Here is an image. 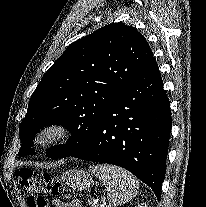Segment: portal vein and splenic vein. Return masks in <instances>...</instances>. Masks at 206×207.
I'll list each match as a JSON object with an SVG mask.
<instances>
[{
  "instance_id": "portal-vein-and-splenic-vein-1",
  "label": "portal vein and splenic vein",
  "mask_w": 206,
  "mask_h": 207,
  "mask_svg": "<svg viewBox=\"0 0 206 207\" xmlns=\"http://www.w3.org/2000/svg\"><path fill=\"white\" fill-rule=\"evenodd\" d=\"M103 205H106V202L105 201L103 202Z\"/></svg>"
}]
</instances>
